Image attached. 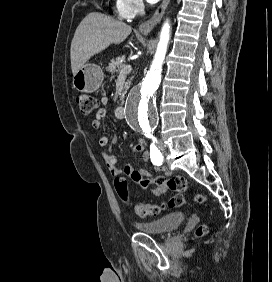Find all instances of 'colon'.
<instances>
[{
  "label": "colon",
  "instance_id": "colon-1",
  "mask_svg": "<svg viewBox=\"0 0 272 282\" xmlns=\"http://www.w3.org/2000/svg\"><path fill=\"white\" fill-rule=\"evenodd\" d=\"M76 101L79 106V109L82 113H91L97 106L96 99L86 93H79L76 96ZM127 169L124 170L126 173ZM132 180L141 187H145L151 179L142 175L139 172H133L131 175ZM154 182L166 185L169 189L173 191L179 192L168 200L160 203V204H145L141 203L138 204L135 208L136 214L140 217H148L160 214L163 210L167 208H175L180 207L184 203V198L182 196L183 192L189 190L188 181L186 178L181 176H174L169 179L158 177L153 179ZM115 188L121 197V199L125 202L129 200V191H128V184L123 175L116 176L114 180ZM195 201L199 204H204L206 202V197L203 194H197L195 196ZM205 231V227L202 226L196 231L197 236L203 235Z\"/></svg>",
  "mask_w": 272,
  "mask_h": 282
}]
</instances>
